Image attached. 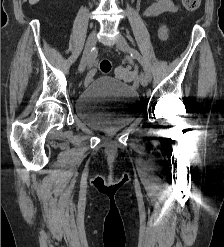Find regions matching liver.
<instances>
[{"label":"liver","mask_w":224,"mask_h":247,"mask_svg":"<svg viewBox=\"0 0 224 247\" xmlns=\"http://www.w3.org/2000/svg\"><path fill=\"white\" fill-rule=\"evenodd\" d=\"M37 2H39V0H29V4H31V6H34Z\"/></svg>","instance_id":"6515ba94"}]
</instances>
